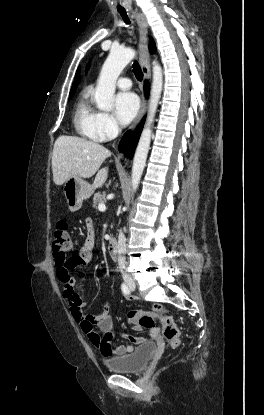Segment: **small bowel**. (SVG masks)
<instances>
[{
    "instance_id": "1",
    "label": "small bowel",
    "mask_w": 264,
    "mask_h": 415,
    "mask_svg": "<svg viewBox=\"0 0 264 415\" xmlns=\"http://www.w3.org/2000/svg\"><path fill=\"white\" fill-rule=\"evenodd\" d=\"M95 246V229L91 219L87 221V239L80 248L77 255L66 260L62 264H56L57 277L63 284V299L67 302L70 313L75 322L80 325L83 333L87 335L90 341L95 344L101 354L106 358H116L134 351V346L142 344L145 339L139 336L130 335L123 332H116L113 328V320L109 314L110 306L103 304L102 312L99 314H91L86 311V305L81 301L79 294L75 289V282L71 272L74 269H81L91 264L93 260V251ZM71 292V293H70ZM130 299L128 296H126ZM154 313H158L157 308H153ZM137 318L135 312L127 314V322L132 326L134 331H141L142 327L134 322ZM96 327L106 332L105 338H100ZM158 335L157 329L150 332L149 339H155ZM114 337H119L129 341L127 345H118L112 348L110 341Z\"/></svg>"
}]
</instances>
